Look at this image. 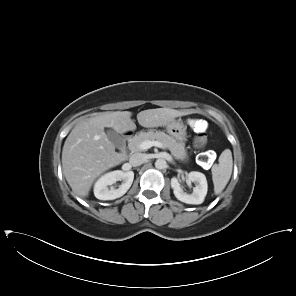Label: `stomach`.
<instances>
[{
    "label": "stomach",
    "instance_id": "1",
    "mask_svg": "<svg viewBox=\"0 0 296 296\" xmlns=\"http://www.w3.org/2000/svg\"><path fill=\"white\" fill-rule=\"evenodd\" d=\"M187 127L181 120H174L166 125V130L175 140L184 143L187 140Z\"/></svg>",
    "mask_w": 296,
    "mask_h": 296
}]
</instances>
